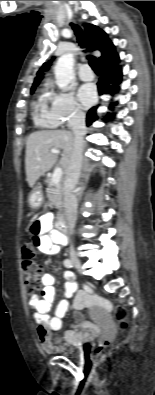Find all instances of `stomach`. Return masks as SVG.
<instances>
[{
	"label": "stomach",
	"instance_id": "0dacf381",
	"mask_svg": "<svg viewBox=\"0 0 155 395\" xmlns=\"http://www.w3.org/2000/svg\"><path fill=\"white\" fill-rule=\"evenodd\" d=\"M42 201H43V195L41 192L40 185L38 184V185L34 186L32 192H31V195L29 198V203L32 208H38L41 206Z\"/></svg>",
	"mask_w": 155,
	"mask_h": 395
}]
</instances>
